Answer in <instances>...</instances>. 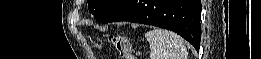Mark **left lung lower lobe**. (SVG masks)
<instances>
[{
  "label": "left lung lower lobe",
  "instance_id": "left-lung-lower-lobe-1",
  "mask_svg": "<svg viewBox=\"0 0 261 59\" xmlns=\"http://www.w3.org/2000/svg\"><path fill=\"white\" fill-rule=\"evenodd\" d=\"M200 0H120L97 21H130L172 30L198 51L201 38Z\"/></svg>",
  "mask_w": 261,
  "mask_h": 59
}]
</instances>
